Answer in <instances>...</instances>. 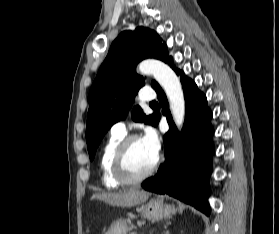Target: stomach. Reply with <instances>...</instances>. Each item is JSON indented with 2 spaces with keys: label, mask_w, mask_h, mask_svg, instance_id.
Listing matches in <instances>:
<instances>
[{
  "label": "stomach",
  "mask_w": 279,
  "mask_h": 234,
  "mask_svg": "<svg viewBox=\"0 0 279 234\" xmlns=\"http://www.w3.org/2000/svg\"><path fill=\"white\" fill-rule=\"evenodd\" d=\"M144 218L149 220H160L172 213V207L164 205L161 201L150 200L140 208ZM130 220L118 219L114 221L105 234H126L129 229Z\"/></svg>",
  "instance_id": "1"
}]
</instances>
